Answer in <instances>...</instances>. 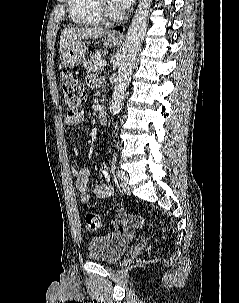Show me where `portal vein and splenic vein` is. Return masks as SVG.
I'll list each match as a JSON object with an SVG mask.
<instances>
[{
    "instance_id": "1",
    "label": "portal vein and splenic vein",
    "mask_w": 239,
    "mask_h": 303,
    "mask_svg": "<svg viewBox=\"0 0 239 303\" xmlns=\"http://www.w3.org/2000/svg\"><path fill=\"white\" fill-rule=\"evenodd\" d=\"M106 65H107V63H106L105 60H102V61L100 62V66H101V67H105Z\"/></svg>"
}]
</instances>
